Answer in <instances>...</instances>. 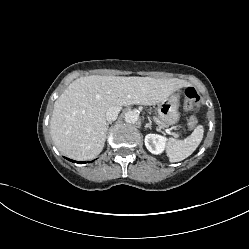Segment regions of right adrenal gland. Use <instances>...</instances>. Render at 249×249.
<instances>
[{
    "label": "right adrenal gland",
    "mask_w": 249,
    "mask_h": 249,
    "mask_svg": "<svg viewBox=\"0 0 249 249\" xmlns=\"http://www.w3.org/2000/svg\"><path fill=\"white\" fill-rule=\"evenodd\" d=\"M112 124V122H108L107 123V128H106V132L108 131L109 125Z\"/></svg>",
    "instance_id": "2a0ac1e0"
}]
</instances>
